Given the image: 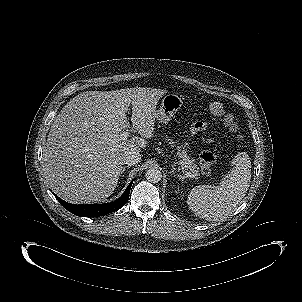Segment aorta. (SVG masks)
<instances>
[{"label":"aorta","instance_id":"762f6f07","mask_svg":"<svg viewBox=\"0 0 302 302\" xmlns=\"http://www.w3.org/2000/svg\"><path fill=\"white\" fill-rule=\"evenodd\" d=\"M145 176L147 181L151 183H158L162 179V173L157 167H150Z\"/></svg>","mask_w":302,"mask_h":302}]
</instances>
